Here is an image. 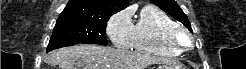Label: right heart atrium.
<instances>
[{"label":"right heart atrium","mask_w":246,"mask_h":69,"mask_svg":"<svg viewBox=\"0 0 246 69\" xmlns=\"http://www.w3.org/2000/svg\"><path fill=\"white\" fill-rule=\"evenodd\" d=\"M132 21L127 10L113 15L106 25V33L112 44L117 48L131 46Z\"/></svg>","instance_id":"right-heart-atrium-1"}]
</instances>
